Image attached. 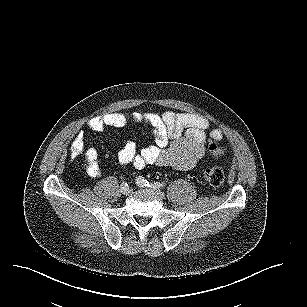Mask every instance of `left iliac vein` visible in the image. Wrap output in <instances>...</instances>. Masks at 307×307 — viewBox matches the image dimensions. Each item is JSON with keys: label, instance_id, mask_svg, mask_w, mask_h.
<instances>
[{"label": "left iliac vein", "instance_id": "obj_1", "mask_svg": "<svg viewBox=\"0 0 307 307\" xmlns=\"http://www.w3.org/2000/svg\"><path fill=\"white\" fill-rule=\"evenodd\" d=\"M150 190L157 192L161 197L164 196V193L161 192L158 188L155 187H149Z\"/></svg>", "mask_w": 307, "mask_h": 307}]
</instances>
